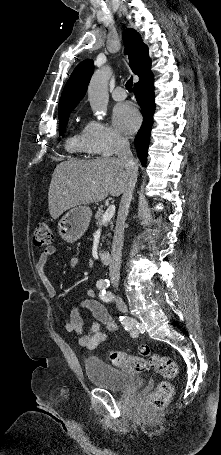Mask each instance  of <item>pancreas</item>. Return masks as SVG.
<instances>
[{
	"mask_svg": "<svg viewBox=\"0 0 221 455\" xmlns=\"http://www.w3.org/2000/svg\"><path fill=\"white\" fill-rule=\"evenodd\" d=\"M103 213H104V211H103L102 209H99V210L96 212V214H95V224H96L97 226H101V225H102V217H103V215H104ZM109 228H110V229H109L110 231L113 230V222H112V221L109 222ZM109 235H110V233L108 232V233H107V236H109Z\"/></svg>",
	"mask_w": 221,
	"mask_h": 455,
	"instance_id": "obj_1",
	"label": "pancreas"
}]
</instances>
